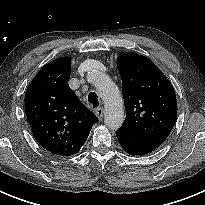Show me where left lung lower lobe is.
Returning a JSON list of instances; mask_svg holds the SVG:
<instances>
[{
    "mask_svg": "<svg viewBox=\"0 0 205 205\" xmlns=\"http://www.w3.org/2000/svg\"><path fill=\"white\" fill-rule=\"evenodd\" d=\"M116 136L122 148L130 155H145L161 145L159 142L135 135L122 128L116 131Z\"/></svg>",
    "mask_w": 205,
    "mask_h": 205,
    "instance_id": "0a47b994",
    "label": "left lung lower lobe"
}]
</instances>
